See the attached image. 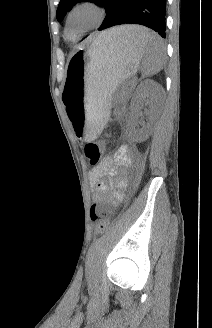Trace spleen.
<instances>
[{"label": "spleen", "instance_id": "spleen-1", "mask_svg": "<svg viewBox=\"0 0 212 328\" xmlns=\"http://www.w3.org/2000/svg\"><path fill=\"white\" fill-rule=\"evenodd\" d=\"M140 48L145 55L142 61V71L145 76L158 73L165 62V51L162 39L147 28L134 26L130 40Z\"/></svg>", "mask_w": 212, "mask_h": 328}]
</instances>
